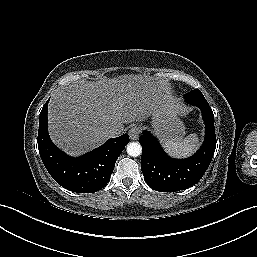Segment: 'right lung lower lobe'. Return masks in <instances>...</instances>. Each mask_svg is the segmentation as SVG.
I'll return each mask as SVG.
<instances>
[{
    "instance_id": "right-lung-lower-lobe-1",
    "label": "right lung lower lobe",
    "mask_w": 257,
    "mask_h": 257,
    "mask_svg": "<svg viewBox=\"0 0 257 257\" xmlns=\"http://www.w3.org/2000/svg\"><path fill=\"white\" fill-rule=\"evenodd\" d=\"M48 101L40 113L37 140L44 166L53 179L69 191L94 193L101 190L108 183L117 158L129 142L128 134L111 138L81 157H70L61 152L49 137Z\"/></svg>"
}]
</instances>
